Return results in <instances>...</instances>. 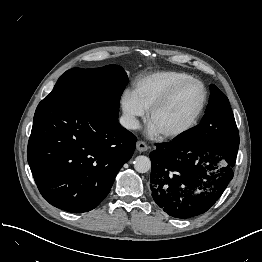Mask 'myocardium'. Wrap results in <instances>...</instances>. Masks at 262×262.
I'll use <instances>...</instances> for the list:
<instances>
[{"label": "myocardium", "instance_id": "f54148a6", "mask_svg": "<svg viewBox=\"0 0 262 262\" xmlns=\"http://www.w3.org/2000/svg\"><path fill=\"white\" fill-rule=\"evenodd\" d=\"M190 84H197L201 87L202 89V100L200 102V105L197 109V111L195 112V114L193 115V117L189 120V122L187 124H185L183 127L174 130V131H170V132H164L161 133L162 138L164 139H177L185 134H187L188 132H190L198 123V121L200 120V118L203 115L204 109L206 107L207 104V99H208V93H207V89L204 86V84L194 78H190L184 81L179 82L178 84H176L175 86H173L169 91H167L156 103H154L150 109H149V113H148V120L151 121V119L153 118V116L160 111L161 109H163L173 98L174 96L185 86L190 85Z\"/></svg>", "mask_w": 262, "mask_h": 262}]
</instances>
